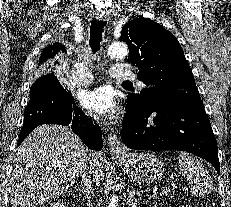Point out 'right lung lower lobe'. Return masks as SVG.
I'll list each match as a JSON object with an SVG mask.
<instances>
[{"mask_svg": "<svg viewBox=\"0 0 231 207\" xmlns=\"http://www.w3.org/2000/svg\"><path fill=\"white\" fill-rule=\"evenodd\" d=\"M30 93L18 145L35 127L43 123L64 126L70 124L73 132L79 135L90 149H102L100 127L76 106L71 92L66 91L53 74L37 79L31 86Z\"/></svg>", "mask_w": 231, "mask_h": 207, "instance_id": "98d812e1", "label": "right lung lower lobe"}]
</instances>
